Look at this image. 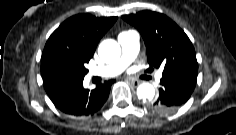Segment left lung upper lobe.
Instances as JSON below:
<instances>
[{
  "mask_svg": "<svg viewBox=\"0 0 236 135\" xmlns=\"http://www.w3.org/2000/svg\"><path fill=\"white\" fill-rule=\"evenodd\" d=\"M122 18L141 33L147 50L150 69L163 68V73L180 69H198L194 47L185 34L171 19L149 10Z\"/></svg>",
  "mask_w": 236,
  "mask_h": 135,
  "instance_id": "5c2ea615",
  "label": "left lung upper lobe"
}]
</instances>
